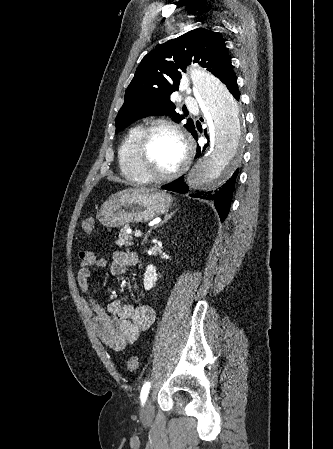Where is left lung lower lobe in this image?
<instances>
[{"instance_id": "1", "label": "left lung lower lobe", "mask_w": 333, "mask_h": 449, "mask_svg": "<svg viewBox=\"0 0 333 449\" xmlns=\"http://www.w3.org/2000/svg\"><path fill=\"white\" fill-rule=\"evenodd\" d=\"M223 83L227 86L228 90L232 93V95L238 100L240 93L237 88V78L233 71L225 78ZM191 134L193 135L195 140H197V132L194 131ZM205 147L201 149L198 146L196 157H199L202 154V152L205 150ZM237 174L238 170L234 172V174L222 187L214 191L196 192L194 194H191L190 196L194 198L212 200L214 202V205L217 209L221 221H224L229 212V207L232 200V194ZM162 188L166 190H172L178 193H186L188 191V186L184 183V176L180 177L179 179L175 180L172 183L162 186Z\"/></svg>"}]
</instances>
